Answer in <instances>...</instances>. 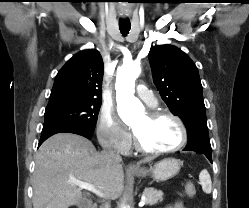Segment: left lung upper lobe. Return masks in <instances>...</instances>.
<instances>
[{"mask_svg":"<svg viewBox=\"0 0 249 208\" xmlns=\"http://www.w3.org/2000/svg\"><path fill=\"white\" fill-rule=\"evenodd\" d=\"M149 61L154 84L170 111L185 124L188 141L209 140L202 85L193 61L172 45L152 47Z\"/></svg>","mask_w":249,"mask_h":208,"instance_id":"obj_1","label":"left lung upper lobe"}]
</instances>
